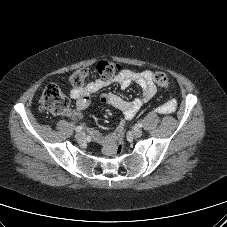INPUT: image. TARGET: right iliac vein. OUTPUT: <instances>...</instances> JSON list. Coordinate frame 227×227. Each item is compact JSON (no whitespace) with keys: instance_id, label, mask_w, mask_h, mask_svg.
Masks as SVG:
<instances>
[{"instance_id":"right-iliac-vein-1","label":"right iliac vein","mask_w":227,"mask_h":227,"mask_svg":"<svg viewBox=\"0 0 227 227\" xmlns=\"http://www.w3.org/2000/svg\"><path fill=\"white\" fill-rule=\"evenodd\" d=\"M85 133L84 132H78L76 135H75V138L77 141L81 142V141H84L85 140Z\"/></svg>"}]
</instances>
